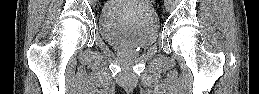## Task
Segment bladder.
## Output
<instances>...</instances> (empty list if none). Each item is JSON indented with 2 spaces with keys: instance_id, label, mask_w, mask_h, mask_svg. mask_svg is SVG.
I'll return each mask as SVG.
<instances>
[{
  "instance_id": "bladder-1",
  "label": "bladder",
  "mask_w": 259,
  "mask_h": 94,
  "mask_svg": "<svg viewBox=\"0 0 259 94\" xmlns=\"http://www.w3.org/2000/svg\"><path fill=\"white\" fill-rule=\"evenodd\" d=\"M102 38L113 45L146 48L158 37V20L153 7L144 0L110 1L99 17Z\"/></svg>"
}]
</instances>
